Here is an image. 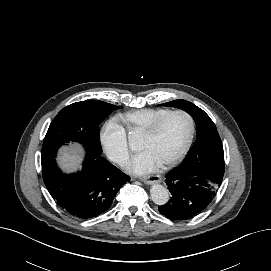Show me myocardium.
<instances>
[{
	"instance_id": "myocardium-1",
	"label": "myocardium",
	"mask_w": 271,
	"mask_h": 271,
	"mask_svg": "<svg viewBox=\"0 0 271 271\" xmlns=\"http://www.w3.org/2000/svg\"><path fill=\"white\" fill-rule=\"evenodd\" d=\"M176 114H184L187 116L189 119L190 123V131L189 135L187 138L186 143L184 144L183 148L172 158H169L163 162H160L159 164L161 166H172L180 162L188 153L190 150L193 140H194V135H195V129H196V124H195V119L192 116V114L184 109H175L170 111L169 113L165 114L161 118L157 119L155 122H153L151 125H149L144 131H142L143 136H152L156 134L159 129L162 127V125L172 116Z\"/></svg>"
}]
</instances>
